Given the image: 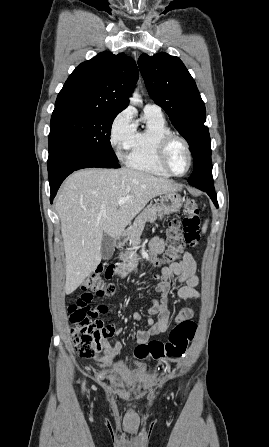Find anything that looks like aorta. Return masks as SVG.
Here are the masks:
<instances>
[{
    "mask_svg": "<svg viewBox=\"0 0 269 447\" xmlns=\"http://www.w3.org/2000/svg\"><path fill=\"white\" fill-rule=\"evenodd\" d=\"M143 100H141V96L135 92L133 94V98H130V104H133V106H138V104H142Z\"/></svg>",
    "mask_w": 269,
    "mask_h": 447,
    "instance_id": "1",
    "label": "aorta"
}]
</instances>
